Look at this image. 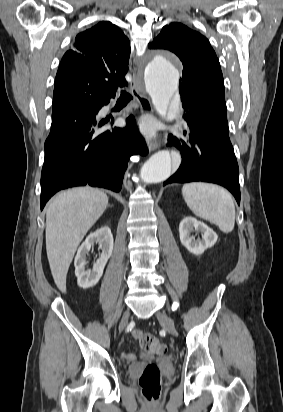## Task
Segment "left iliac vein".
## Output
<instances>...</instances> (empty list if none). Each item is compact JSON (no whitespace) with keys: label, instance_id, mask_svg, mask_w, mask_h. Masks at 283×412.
Wrapping results in <instances>:
<instances>
[{"label":"left iliac vein","instance_id":"4c4485c4","mask_svg":"<svg viewBox=\"0 0 283 412\" xmlns=\"http://www.w3.org/2000/svg\"><path fill=\"white\" fill-rule=\"evenodd\" d=\"M156 316L158 321L170 334L176 335V328L173 321L164 312H158Z\"/></svg>","mask_w":283,"mask_h":412}]
</instances>
